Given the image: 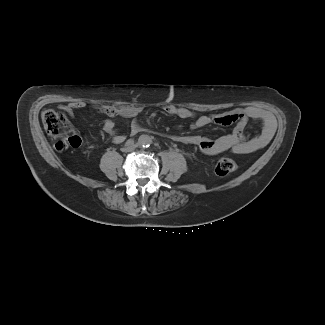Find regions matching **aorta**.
<instances>
[{
	"label": "aorta",
	"mask_w": 325,
	"mask_h": 325,
	"mask_svg": "<svg viewBox=\"0 0 325 325\" xmlns=\"http://www.w3.org/2000/svg\"><path fill=\"white\" fill-rule=\"evenodd\" d=\"M138 144L140 147H149L152 144V138L149 135L143 134L138 138Z\"/></svg>",
	"instance_id": "obj_1"
}]
</instances>
